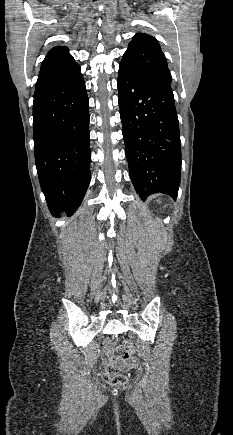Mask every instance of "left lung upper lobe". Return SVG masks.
<instances>
[{
  "label": "left lung upper lobe",
  "instance_id": "left-lung-upper-lobe-1",
  "mask_svg": "<svg viewBox=\"0 0 233 435\" xmlns=\"http://www.w3.org/2000/svg\"><path fill=\"white\" fill-rule=\"evenodd\" d=\"M135 74L152 83L171 88L172 76L158 41L145 33H137L120 62Z\"/></svg>",
  "mask_w": 233,
  "mask_h": 435
}]
</instances>
